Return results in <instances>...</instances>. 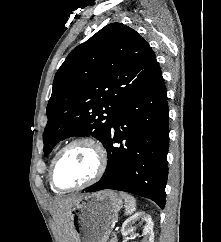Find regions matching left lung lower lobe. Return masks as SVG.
<instances>
[{
	"instance_id": "left-lung-lower-lobe-1",
	"label": "left lung lower lobe",
	"mask_w": 221,
	"mask_h": 242,
	"mask_svg": "<svg viewBox=\"0 0 221 242\" xmlns=\"http://www.w3.org/2000/svg\"><path fill=\"white\" fill-rule=\"evenodd\" d=\"M103 145L108 153L106 171L97 183L84 191H126L149 198L164 208L169 109L160 68L121 107Z\"/></svg>"
}]
</instances>
